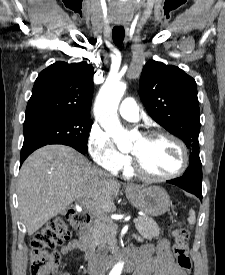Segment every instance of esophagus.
<instances>
[{
	"mask_svg": "<svg viewBox=\"0 0 225 275\" xmlns=\"http://www.w3.org/2000/svg\"><path fill=\"white\" fill-rule=\"evenodd\" d=\"M127 188L131 189V188H133V187H132V186H127Z\"/></svg>",
	"mask_w": 225,
	"mask_h": 275,
	"instance_id": "obj_1",
	"label": "esophagus"
}]
</instances>
